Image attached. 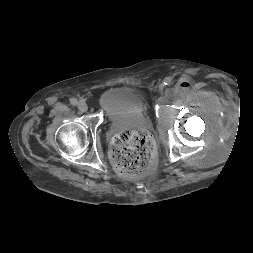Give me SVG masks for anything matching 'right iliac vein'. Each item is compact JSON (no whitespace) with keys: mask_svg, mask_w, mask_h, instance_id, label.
<instances>
[{"mask_svg":"<svg viewBox=\"0 0 253 253\" xmlns=\"http://www.w3.org/2000/svg\"><path fill=\"white\" fill-rule=\"evenodd\" d=\"M78 109H79L81 112H86L87 109H88V106H87V104H86L85 102L80 101V102L78 103Z\"/></svg>","mask_w":253,"mask_h":253,"instance_id":"obj_1","label":"right iliac vein"}]
</instances>
